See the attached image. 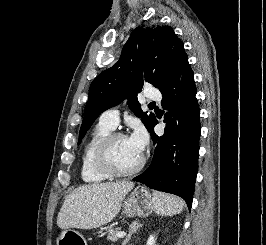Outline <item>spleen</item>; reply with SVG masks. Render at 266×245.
Here are the masks:
<instances>
[{"instance_id": "3e777b00", "label": "spleen", "mask_w": 266, "mask_h": 245, "mask_svg": "<svg viewBox=\"0 0 266 245\" xmlns=\"http://www.w3.org/2000/svg\"><path fill=\"white\" fill-rule=\"evenodd\" d=\"M185 207L184 201L173 197V195H166V193H153V209L157 215L162 217H172V215H178Z\"/></svg>"}]
</instances>
